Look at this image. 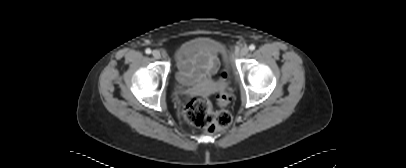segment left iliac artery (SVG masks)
I'll use <instances>...</instances> for the list:
<instances>
[{
    "instance_id": "1",
    "label": "left iliac artery",
    "mask_w": 406,
    "mask_h": 168,
    "mask_svg": "<svg viewBox=\"0 0 406 168\" xmlns=\"http://www.w3.org/2000/svg\"><path fill=\"white\" fill-rule=\"evenodd\" d=\"M249 49H250L251 51L255 50V45H254V44H251V45L249 46Z\"/></svg>"
}]
</instances>
